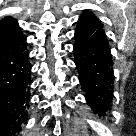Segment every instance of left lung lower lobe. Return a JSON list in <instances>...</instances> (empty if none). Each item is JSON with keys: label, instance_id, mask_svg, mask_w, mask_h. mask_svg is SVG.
Masks as SVG:
<instances>
[{"label": "left lung lower lobe", "instance_id": "0a47b994", "mask_svg": "<svg viewBox=\"0 0 136 136\" xmlns=\"http://www.w3.org/2000/svg\"><path fill=\"white\" fill-rule=\"evenodd\" d=\"M74 37L73 53L82 89L94 113L103 114L112 101L113 78L108 42L92 12L80 16Z\"/></svg>", "mask_w": 136, "mask_h": 136}]
</instances>
